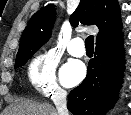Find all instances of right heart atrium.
<instances>
[{
    "label": "right heart atrium",
    "mask_w": 131,
    "mask_h": 115,
    "mask_svg": "<svg viewBox=\"0 0 131 115\" xmlns=\"http://www.w3.org/2000/svg\"><path fill=\"white\" fill-rule=\"evenodd\" d=\"M57 60L51 52L37 54L29 63L27 76L30 84L42 95L51 98H62L64 90L59 86L55 70Z\"/></svg>",
    "instance_id": "obj_1"
}]
</instances>
